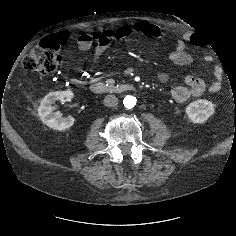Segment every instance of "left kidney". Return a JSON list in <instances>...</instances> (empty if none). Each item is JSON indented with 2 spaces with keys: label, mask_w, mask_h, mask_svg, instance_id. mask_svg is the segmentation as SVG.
Instances as JSON below:
<instances>
[{
  "label": "left kidney",
  "mask_w": 236,
  "mask_h": 236,
  "mask_svg": "<svg viewBox=\"0 0 236 236\" xmlns=\"http://www.w3.org/2000/svg\"><path fill=\"white\" fill-rule=\"evenodd\" d=\"M185 112L193 123L201 124L214 114L215 108L212 102L200 99L190 103Z\"/></svg>",
  "instance_id": "left-kidney-1"
}]
</instances>
